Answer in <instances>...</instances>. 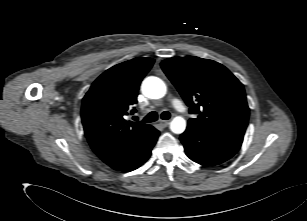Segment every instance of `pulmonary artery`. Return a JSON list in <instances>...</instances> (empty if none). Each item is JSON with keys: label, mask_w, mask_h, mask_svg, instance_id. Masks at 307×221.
Instances as JSON below:
<instances>
[{"label": "pulmonary artery", "mask_w": 307, "mask_h": 221, "mask_svg": "<svg viewBox=\"0 0 307 221\" xmlns=\"http://www.w3.org/2000/svg\"><path fill=\"white\" fill-rule=\"evenodd\" d=\"M171 104H172V106L177 110V111H179V112H181V113H184L185 111H186V108H185V106L182 104V102L178 99V98H176V97H173L172 99H171Z\"/></svg>", "instance_id": "e3ab8cb5"}]
</instances>
